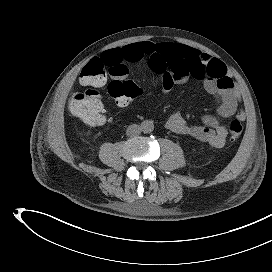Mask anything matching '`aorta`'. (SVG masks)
I'll list each match as a JSON object with an SVG mask.
<instances>
[{"label": "aorta", "instance_id": "1", "mask_svg": "<svg viewBox=\"0 0 272 272\" xmlns=\"http://www.w3.org/2000/svg\"><path fill=\"white\" fill-rule=\"evenodd\" d=\"M141 130L145 133H151L154 130V124L151 120L143 121L141 124Z\"/></svg>", "mask_w": 272, "mask_h": 272}]
</instances>
